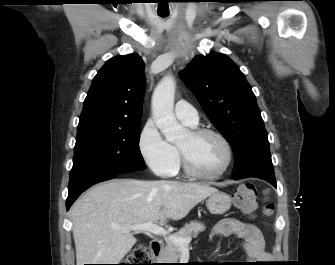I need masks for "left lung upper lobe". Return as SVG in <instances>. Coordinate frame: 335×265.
Here are the masks:
<instances>
[{
  "mask_svg": "<svg viewBox=\"0 0 335 265\" xmlns=\"http://www.w3.org/2000/svg\"><path fill=\"white\" fill-rule=\"evenodd\" d=\"M179 74L231 145L233 175L275 177L264 122L252 88L238 66L224 54L211 53L195 57Z\"/></svg>",
  "mask_w": 335,
  "mask_h": 265,
  "instance_id": "obj_1",
  "label": "left lung upper lobe"
}]
</instances>
